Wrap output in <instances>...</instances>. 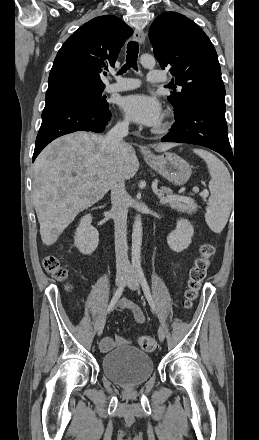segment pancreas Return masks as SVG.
I'll list each match as a JSON object with an SVG mask.
<instances>
[{"label": "pancreas", "mask_w": 259, "mask_h": 440, "mask_svg": "<svg viewBox=\"0 0 259 440\" xmlns=\"http://www.w3.org/2000/svg\"><path fill=\"white\" fill-rule=\"evenodd\" d=\"M162 192L166 193L167 196L172 195V191L168 188H162ZM168 205L172 209H176L178 211L187 212V213L196 212L197 210V204L194 201L184 202V201L174 200L168 202Z\"/></svg>", "instance_id": "1"}]
</instances>
